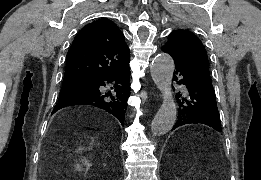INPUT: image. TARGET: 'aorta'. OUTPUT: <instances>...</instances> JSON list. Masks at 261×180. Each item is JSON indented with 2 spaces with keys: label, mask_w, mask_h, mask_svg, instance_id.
<instances>
[{
  "label": "aorta",
  "mask_w": 261,
  "mask_h": 180,
  "mask_svg": "<svg viewBox=\"0 0 261 180\" xmlns=\"http://www.w3.org/2000/svg\"><path fill=\"white\" fill-rule=\"evenodd\" d=\"M174 68L172 57L166 53L157 55L150 68L152 79L162 94L161 107L151 125V131L156 136H162L170 131L177 119V106L171 87Z\"/></svg>",
  "instance_id": "obj_1"
}]
</instances>
